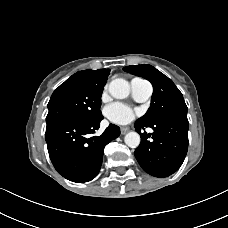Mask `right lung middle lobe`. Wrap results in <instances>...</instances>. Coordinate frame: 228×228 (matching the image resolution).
Returning <instances> with one entry per match:
<instances>
[{
    "label": "right lung middle lobe",
    "instance_id": "dd1d6c3e",
    "mask_svg": "<svg viewBox=\"0 0 228 228\" xmlns=\"http://www.w3.org/2000/svg\"><path fill=\"white\" fill-rule=\"evenodd\" d=\"M104 84L86 85L68 79L52 94L48 103L47 127L60 121H90L102 115L100 111Z\"/></svg>",
    "mask_w": 228,
    "mask_h": 228
}]
</instances>
